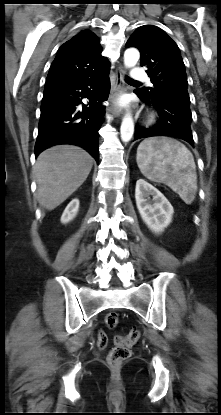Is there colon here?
Masks as SVG:
<instances>
[{
    "label": "colon",
    "mask_w": 221,
    "mask_h": 415,
    "mask_svg": "<svg viewBox=\"0 0 221 415\" xmlns=\"http://www.w3.org/2000/svg\"><path fill=\"white\" fill-rule=\"evenodd\" d=\"M105 323L109 328H114L118 324V315L114 312L105 315ZM141 333L137 328H133L126 336H116L114 347L108 355V362L111 366H119L131 355V347L138 342ZM97 344L99 348H104L107 344V337L104 332L98 334Z\"/></svg>",
    "instance_id": "obj_1"
}]
</instances>
